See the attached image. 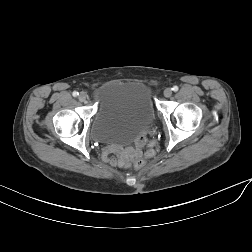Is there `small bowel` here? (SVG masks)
<instances>
[{"label":"small bowel","mask_w":252,"mask_h":252,"mask_svg":"<svg viewBox=\"0 0 252 252\" xmlns=\"http://www.w3.org/2000/svg\"><path fill=\"white\" fill-rule=\"evenodd\" d=\"M145 146V139L143 137L138 138L135 143V148H124V149H112L110 153L114 154L115 157H108V161L115 165L127 164L133 156H140Z\"/></svg>","instance_id":"obj_1"}]
</instances>
